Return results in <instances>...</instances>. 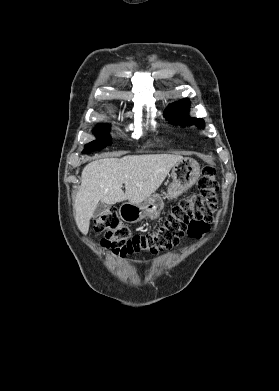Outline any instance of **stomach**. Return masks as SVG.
<instances>
[{"mask_svg":"<svg viewBox=\"0 0 279 391\" xmlns=\"http://www.w3.org/2000/svg\"><path fill=\"white\" fill-rule=\"evenodd\" d=\"M200 177V166L191 158H183L177 162L171 171L172 182L168 187L166 198L176 199L183 192L191 188ZM164 208L163 199L151 195L141 204L124 203L119 209L122 220L128 223H137L147 217L156 219Z\"/></svg>","mask_w":279,"mask_h":391,"instance_id":"obj_1","label":"stomach"}]
</instances>
